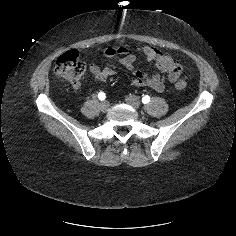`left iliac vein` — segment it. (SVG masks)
Returning a JSON list of instances; mask_svg holds the SVG:
<instances>
[{
  "label": "left iliac vein",
  "instance_id": "left-iliac-vein-1",
  "mask_svg": "<svg viewBox=\"0 0 236 236\" xmlns=\"http://www.w3.org/2000/svg\"><path fill=\"white\" fill-rule=\"evenodd\" d=\"M125 101L127 104L131 105L132 107H134L135 109H138L140 107V100L133 96V95H128L125 98Z\"/></svg>",
  "mask_w": 236,
  "mask_h": 236
}]
</instances>
